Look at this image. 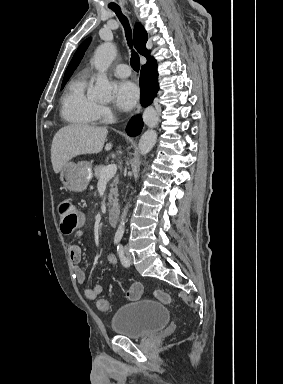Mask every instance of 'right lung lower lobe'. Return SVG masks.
Segmentation results:
<instances>
[{"label": "right lung lower lobe", "mask_w": 283, "mask_h": 384, "mask_svg": "<svg viewBox=\"0 0 283 384\" xmlns=\"http://www.w3.org/2000/svg\"><path fill=\"white\" fill-rule=\"evenodd\" d=\"M157 66L142 67L140 74L141 103L148 106L152 103L159 89L157 82ZM143 122L140 116L133 117L128 124L126 131L131 136H136L141 132Z\"/></svg>", "instance_id": "1"}]
</instances>
